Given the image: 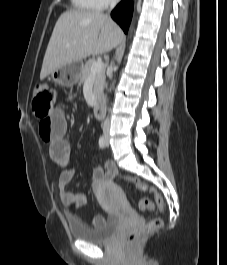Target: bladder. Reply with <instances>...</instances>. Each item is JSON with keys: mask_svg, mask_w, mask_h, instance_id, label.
Instances as JSON below:
<instances>
[{"mask_svg": "<svg viewBox=\"0 0 227 265\" xmlns=\"http://www.w3.org/2000/svg\"><path fill=\"white\" fill-rule=\"evenodd\" d=\"M113 189L118 196L122 197V190L118 186H113ZM119 224V216L113 214L97 226L86 227L79 223L69 222L68 227L74 239L97 244L108 240L117 231Z\"/></svg>", "mask_w": 227, "mask_h": 265, "instance_id": "bladder-1", "label": "bladder"}]
</instances>
